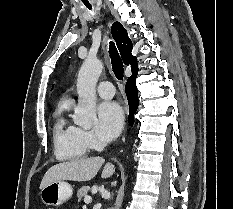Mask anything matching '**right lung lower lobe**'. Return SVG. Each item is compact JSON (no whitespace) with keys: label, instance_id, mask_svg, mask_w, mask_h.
<instances>
[{"label":"right lung lower lobe","instance_id":"obj_1","mask_svg":"<svg viewBox=\"0 0 233 209\" xmlns=\"http://www.w3.org/2000/svg\"><path fill=\"white\" fill-rule=\"evenodd\" d=\"M136 77H137V74L131 76L128 79V81L126 83V86H125V92H126V96H127V99H128L129 106H130V113H129V123H130V125H133V123H134L133 116H134L135 111L138 108V103H139L138 91H137V88H136V85H135Z\"/></svg>","mask_w":233,"mask_h":209}]
</instances>
